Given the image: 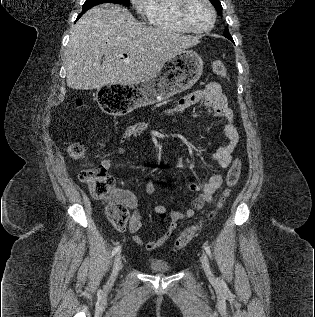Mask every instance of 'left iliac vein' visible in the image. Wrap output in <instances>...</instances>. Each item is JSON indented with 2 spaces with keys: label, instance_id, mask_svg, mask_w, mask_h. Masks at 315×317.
Here are the masks:
<instances>
[{
  "label": "left iliac vein",
  "instance_id": "1",
  "mask_svg": "<svg viewBox=\"0 0 315 317\" xmlns=\"http://www.w3.org/2000/svg\"><path fill=\"white\" fill-rule=\"evenodd\" d=\"M200 261H201L202 268H203L205 274L207 275V277L210 279H214V275H213L212 270L210 268L208 257L205 253H202V255L200 257Z\"/></svg>",
  "mask_w": 315,
  "mask_h": 317
}]
</instances>
